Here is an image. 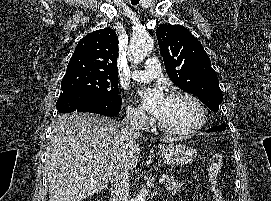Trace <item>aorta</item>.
<instances>
[{"label": "aorta", "instance_id": "762f6f07", "mask_svg": "<svg viewBox=\"0 0 271 201\" xmlns=\"http://www.w3.org/2000/svg\"><path fill=\"white\" fill-rule=\"evenodd\" d=\"M154 47V40L148 34L134 35L129 44L128 57L132 63L141 62L149 56ZM146 190L142 189L134 201H145Z\"/></svg>", "mask_w": 271, "mask_h": 201}]
</instances>
